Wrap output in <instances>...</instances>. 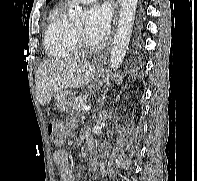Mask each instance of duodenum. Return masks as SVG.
Wrapping results in <instances>:
<instances>
[{
	"label": "duodenum",
	"instance_id": "1",
	"mask_svg": "<svg viewBox=\"0 0 197 181\" xmlns=\"http://www.w3.org/2000/svg\"><path fill=\"white\" fill-rule=\"evenodd\" d=\"M86 145H87V151L89 154L92 153L93 151V145H94V141L91 135H88L86 138Z\"/></svg>",
	"mask_w": 197,
	"mask_h": 181
}]
</instances>
